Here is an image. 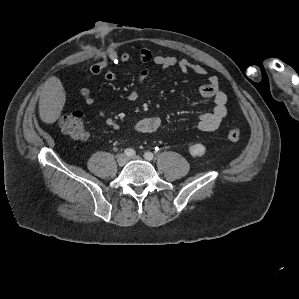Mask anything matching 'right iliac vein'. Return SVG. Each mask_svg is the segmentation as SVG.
Masks as SVG:
<instances>
[{"instance_id":"63e3f726","label":"right iliac vein","mask_w":299,"mask_h":299,"mask_svg":"<svg viewBox=\"0 0 299 299\" xmlns=\"http://www.w3.org/2000/svg\"><path fill=\"white\" fill-rule=\"evenodd\" d=\"M128 158L125 154H120L118 157H117V163L119 166H124L127 162Z\"/></svg>"}]
</instances>
